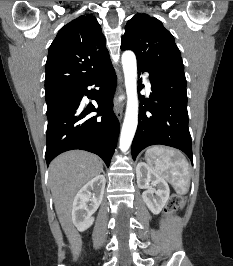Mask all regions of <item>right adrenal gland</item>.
<instances>
[{
  "mask_svg": "<svg viewBox=\"0 0 233 266\" xmlns=\"http://www.w3.org/2000/svg\"><path fill=\"white\" fill-rule=\"evenodd\" d=\"M102 173L105 175V172L102 170Z\"/></svg>",
  "mask_w": 233,
  "mask_h": 266,
  "instance_id": "right-adrenal-gland-1",
  "label": "right adrenal gland"
}]
</instances>
